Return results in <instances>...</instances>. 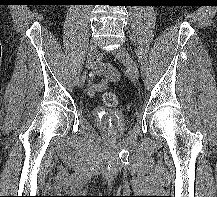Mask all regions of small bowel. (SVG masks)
<instances>
[{"instance_id": "1", "label": "small bowel", "mask_w": 217, "mask_h": 197, "mask_svg": "<svg viewBox=\"0 0 217 197\" xmlns=\"http://www.w3.org/2000/svg\"><path fill=\"white\" fill-rule=\"evenodd\" d=\"M99 80L90 85L88 94L94 96L96 93L107 89L108 85L119 79L118 72L108 63H101L98 69Z\"/></svg>"}]
</instances>
